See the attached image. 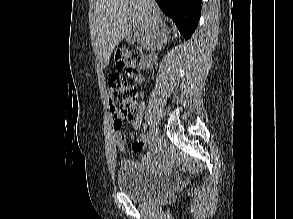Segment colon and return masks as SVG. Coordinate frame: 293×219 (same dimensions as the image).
<instances>
[{
  "mask_svg": "<svg viewBox=\"0 0 293 219\" xmlns=\"http://www.w3.org/2000/svg\"><path fill=\"white\" fill-rule=\"evenodd\" d=\"M139 56L136 52L119 49L115 53V62L118 71L112 73L108 79L109 89L118 104L121 117L132 120L136 104V88L129 81L138 66Z\"/></svg>",
  "mask_w": 293,
  "mask_h": 219,
  "instance_id": "5ec220e1",
  "label": "colon"
}]
</instances>
